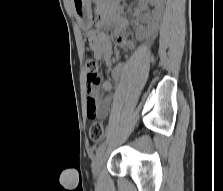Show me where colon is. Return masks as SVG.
<instances>
[{
	"mask_svg": "<svg viewBox=\"0 0 223 191\" xmlns=\"http://www.w3.org/2000/svg\"><path fill=\"white\" fill-rule=\"evenodd\" d=\"M87 79L91 84H98L100 82L99 64L94 59H89L86 62ZM104 125L101 122H94L89 130V137L92 143H99L104 137Z\"/></svg>",
	"mask_w": 223,
	"mask_h": 191,
	"instance_id": "obj_1",
	"label": "colon"
}]
</instances>
